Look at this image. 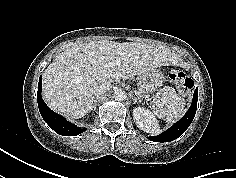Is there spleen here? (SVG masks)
Masks as SVG:
<instances>
[{"label": "spleen", "instance_id": "obj_1", "mask_svg": "<svg viewBox=\"0 0 236 178\" xmlns=\"http://www.w3.org/2000/svg\"><path fill=\"white\" fill-rule=\"evenodd\" d=\"M185 99L175 89L165 86L156 93L153 99V113L167 122H175L185 113Z\"/></svg>", "mask_w": 236, "mask_h": 178}]
</instances>
